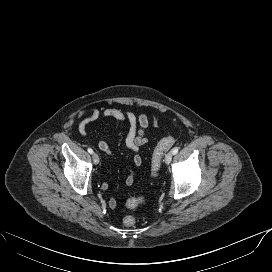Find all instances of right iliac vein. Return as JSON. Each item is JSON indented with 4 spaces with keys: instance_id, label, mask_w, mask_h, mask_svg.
<instances>
[{
    "instance_id": "obj_1",
    "label": "right iliac vein",
    "mask_w": 272,
    "mask_h": 272,
    "mask_svg": "<svg viewBox=\"0 0 272 272\" xmlns=\"http://www.w3.org/2000/svg\"><path fill=\"white\" fill-rule=\"evenodd\" d=\"M92 158H93L94 164H98L99 163L100 159H99V156H98L97 153H93Z\"/></svg>"
}]
</instances>
